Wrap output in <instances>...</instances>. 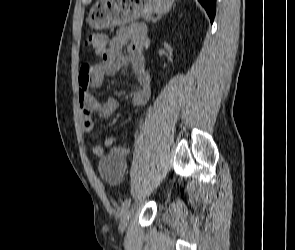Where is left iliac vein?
<instances>
[{
  "label": "left iliac vein",
  "mask_w": 295,
  "mask_h": 250,
  "mask_svg": "<svg viewBox=\"0 0 295 250\" xmlns=\"http://www.w3.org/2000/svg\"><path fill=\"white\" fill-rule=\"evenodd\" d=\"M124 216L123 218L121 219V222H120V231L121 232H124L127 228V215L129 213V207H127L125 210H124Z\"/></svg>",
  "instance_id": "4c4485c4"
}]
</instances>
